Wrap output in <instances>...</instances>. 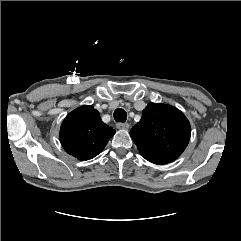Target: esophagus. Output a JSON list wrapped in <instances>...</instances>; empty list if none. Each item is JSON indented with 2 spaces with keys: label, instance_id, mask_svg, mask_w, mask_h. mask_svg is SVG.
Segmentation results:
<instances>
[{
  "label": "esophagus",
  "instance_id": "esophagus-1",
  "mask_svg": "<svg viewBox=\"0 0 241 241\" xmlns=\"http://www.w3.org/2000/svg\"><path fill=\"white\" fill-rule=\"evenodd\" d=\"M117 129L127 130L129 128L128 123H117L116 124Z\"/></svg>",
  "mask_w": 241,
  "mask_h": 241
}]
</instances>
